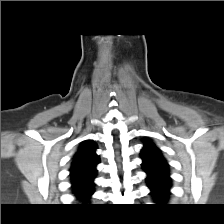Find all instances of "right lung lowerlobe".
<instances>
[{"instance_id": "98d812e1", "label": "right lung lower lobe", "mask_w": 224, "mask_h": 224, "mask_svg": "<svg viewBox=\"0 0 224 224\" xmlns=\"http://www.w3.org/2000/svg\"><path fill=\"white\" fill-rule=\"evenodd\" d=\"M90 196H91V195H89V196H83V197H78V198H80V199L86 201V200H88V199L90 198Z\"/></svg>"}]
</instances>
